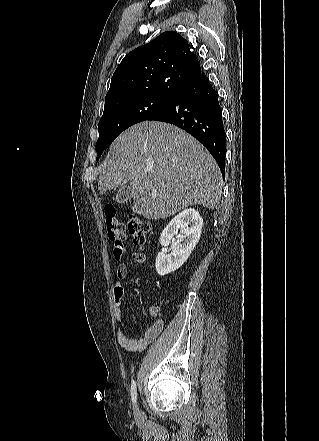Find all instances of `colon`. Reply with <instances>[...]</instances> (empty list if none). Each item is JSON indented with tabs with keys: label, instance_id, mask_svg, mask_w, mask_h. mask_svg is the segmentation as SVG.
<instances>
[{
	"label": "colon",
	"instance_id": "obj_1",
	"mask_svg": "<svg viewBox=\"0 0 319 441\" xmlns=\"http://www.w3.org/2000/svg\"><path fill=\"white\" fill-rule=\"evenodd\" d=\"M105 221L108 237L114 247V256L120 258L123 252V242L126 238L125 227L117 218L116 208L113 204L107 203L104 206ZM128 232L137 247H143L150 232L149 222L135 214H131L127 225Z\"/></svg>",
	"mask_w": 319,
	"mask_h": 441
}]
</instances>
